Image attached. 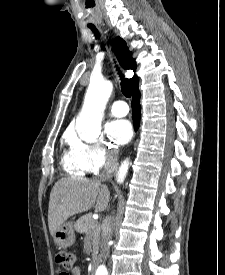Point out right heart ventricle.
<instances>
[{
	"mask_svg": "<svg viewBox=\"0 0 225 275\" xmlns=\"http://www.w3.org/2000/svg\"><path fill=\"white\" fill-rule=\"evenodd\" d=\"M70 139L71 137L68 136L67 140L70 141ZM62 164L64 169L72 175L85 176L87 173L85 167L72 151L63 155Z\"/></svg>",
	"mask_w": 225,
	"mask_h": 275,
	"instance_id": "right-heart-ventricle-1",
	"label": "right heart ventricle"
}]
</instances>
